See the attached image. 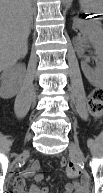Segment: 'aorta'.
Wrapping results in <instances>:
<instances>
[{
	"instance_id": "aorta-1",
	"label": "aorta",
	"mask_w": 103,
	"mask_h": 193,
	"mask_svg": "<svg viewBox=\"0 0 103 193\" xmlns=\"http://www.w3.org/2000/svg\"><path fill=\"white\" fill-rule=\"evenodd\" d=\"M72 0H62V3L66 6H70Z\"/></svg>"
}]
</instances>
